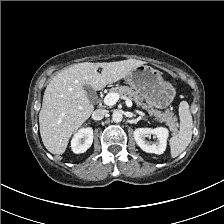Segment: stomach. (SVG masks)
<instances>
[{
  "mask_svg": "<svg viewBox=\"0 0 224 224\" xmlns=\"http://www.w3.org/2000/svg\"><path fill=\"white\" fill-rule=\"evenodd\" d=\"M125 80L150 106L158 109L167 108L176 95L174 86L163 79L162 73L148 65L133 69Z\"/></svg>",
  "mask_w": 224,
  "mask_h": 224,
  "instance_id": "1",
  "label": "stomach"
}]
</instances>
